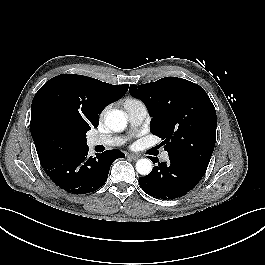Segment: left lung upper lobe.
I'll use <instances>...</instances> for the list:
<instances>
[{
	"mask_svg": "<svg viewBox=\"0 0 265 265\" xmlns=\"http://www.w3.org/2000/svg\"><path fill=\"white\" fill-rule=\"evenodd\" d=\"M152 116L150 131L162 138L169 157L207 169L216 142L217 116L207 93L178 77L132 85Z\"/></svg>",
	"mask_w": 265,
	"mask_h": 265,
	"instance_id": "left-lung-upper-lobe-1",
	"label": "left lung upper lobe"
}]
</instances>
